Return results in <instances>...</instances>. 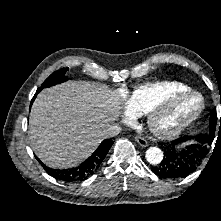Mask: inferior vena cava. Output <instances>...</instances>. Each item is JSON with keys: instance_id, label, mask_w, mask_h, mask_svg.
I'll return each instance as SVG.
<instances>
[{"instance_id": "1", "label": "inferior vena cava", "mask_w": 221, "mask_h": 221, "mask_svg": "<svg viewBox=\"0 0 221 221\" xmlns=\"http://www.w3.org/2000/svg\"><path fill=\"white\" fill-rule=\"evenodd\" d=\"M121 127L116 124L109 125L102 133V138H110L118 135L121 132Z\"/></svg>"}]
</instances>
